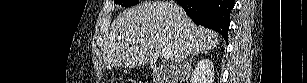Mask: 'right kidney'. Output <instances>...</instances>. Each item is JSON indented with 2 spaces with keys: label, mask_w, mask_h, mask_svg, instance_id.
I'll return each instance as SVG.
<instances>
[{
  "label": "right kidney",
  "mask_w": 307,
  "mask_h": 83,
  "mask_svg": "<svg viewBox=\"0 0 307 83\" xmlns=\"http://www.w3.org/2000/svg\"><path fill=\"white\" fill-rule=\"evenodd\" d=\"M214 68L210 59L205 58L197 62L192 72L190 83H213Z\"/></svg>",
  "instance_id": "ca27d5eb"
}]
</instances>
